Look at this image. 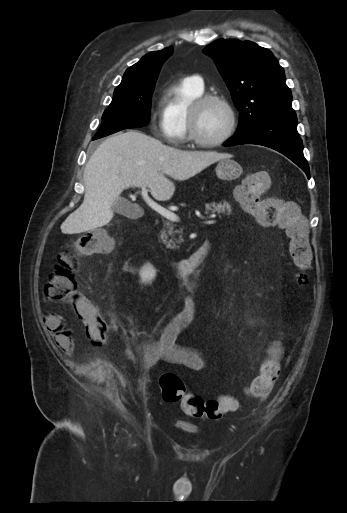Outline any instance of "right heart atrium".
I'll return each mask as SVG.
<instances>
[{
  "label": "right heart atrium",
  "mask_w": 347,
  "mask_h": 513,
  "mask_svg": "<svg viewBox=\"0 0 347 513\" xmlns=\"http://www.w3.org/2000/svg\"><path fill=\"white\" fill-rule=\"evenodd\" d=\"M154 129L163 137L168 139L166 124L162 117L156 123H154Z\"/></svg>",
  "instance_id": "obj_1"
}]
</instances>
